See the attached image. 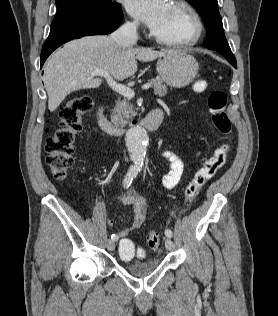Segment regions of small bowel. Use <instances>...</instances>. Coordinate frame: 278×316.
<instances>
[{"label":"small bowel","mask_w":278,"mask_h":316,"mask_svg":"<svg viewBox=\"0 0 278 316\" xmlns=\"http://www.w3.org/2000/svg\"><path fill=\"white\" fill-rule=\"evenodd\" d=\"M161 156L170 162V170L164 175L162 183L166 189H172L179 183L182 177L184 163L181 157L171 150L162 151ZM121 202L123 205L133 206L134 209V217L129 226L117 231V236L125 239V237L140 228L145 222L147 215V200L144 196L137 194L135 191H131L121 198ZM108 224L113 225L114 220L109 219Z\"/></svg>","instance_id":"obj_1"}]
</instances>
